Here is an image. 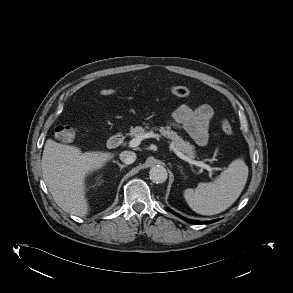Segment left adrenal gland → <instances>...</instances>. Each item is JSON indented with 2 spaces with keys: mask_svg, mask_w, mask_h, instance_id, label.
<instances>
[{
  "mask_svg": "<svg viewBox=\"0 0 293 293\" xmlns=\"http://www.w3.org/2000/svg\"><path fill=\"white\" fill-rule=\"evenodd\" d=\"M181 168V172L183 173V169H182V167H180Z\"/></svg>",
  "mask_w": 293,
  "mask_h": 293,
  "instance_id": "obj_1",
  "label": "left adrenal gland"
}]
</instances>
